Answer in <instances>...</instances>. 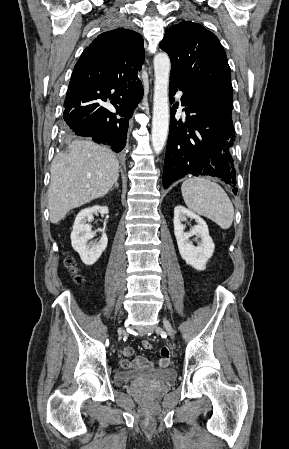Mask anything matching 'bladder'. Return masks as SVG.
Returning a JSON list of instances; mask_svg holds the SVG:
<instances>
[{
    "instance_id": "bladder-1",
    "label": "bladder",
    "mask_w": 289,
    "mask_h": 449,
    "mask_svg": "<svg viewBox=\"0 0 289 449\" xmlns=\"http://www.w3.org/2000/svg\"><path fill=\"white\" fill-rule=\"evenodd\" d=\"M177 377L173 368L117 371L114 375L116 385L139 382H171Z\"/></svg>"
}]
</instances>
